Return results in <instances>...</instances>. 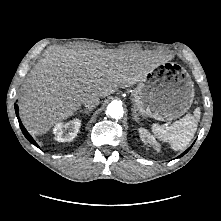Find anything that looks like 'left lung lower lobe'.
Here are the masks:
<instances>
[{
    "instance_id": "left-lung-lower-lobe-1",
    "label": "left lung lower lobe",
    "mask_w": 221,
    "mask_h": 221,
    "mask_svg": "<svg viewBox=\"0 0 221 221\" xmlns=\"http://www.w3.org/2000/svg\"><path fill=\"white\" fill-rule=\"evenodd\" d=\"M191 148V147H190ZM190 148L189 149H187L183 154H181L179 157H181V156H183L184 154H186L189 150H190Z\"/></svg>"
}]
</instances>
